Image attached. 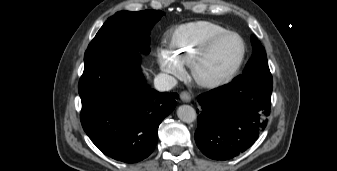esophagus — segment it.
<instances>
[{
    "label": "esophagus",
    "instance_id": "1",
    "mask_svg": "<svg viewBox=\"0 0 337 171\" xmlns=\"http://www.w3.org/2000/svg\"><path fill=\"white\" fill-rule=\"evenodd\" d=\"M180 99H181L183 102L188 103V102L191 101V95H190L189 92L183 91V92H181V94H180Z\"/></svg>",
    "mask_w": 337,
    "mask_h": 171
}]
</instances>
